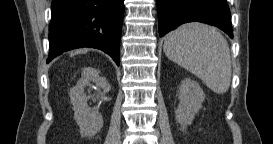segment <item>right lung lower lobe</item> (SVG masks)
Wrapping results in <instances>:
<instances>
[{
	"mask_svg": "<svg viewBox=\"0 0 273 144\" xmlns=\"http://www.w3.org/2000/svg\"><path fill=\"white\" fill-rule=\"evenodd\" d=\"M49 63L68 50H103L119 65L124 0H52Z\"/></svg>",
	"mask_w": 273,
	"mask_h": 144,
	"instance_id": "1",
	"label": "right lung lower lobe"
}]
</instances>
